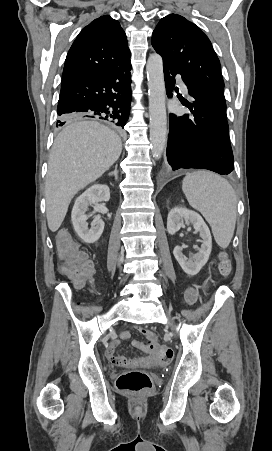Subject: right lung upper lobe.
<instances>
[{
    "mask_svg": "<svg viewBox=\"0 0 272 451\" xmlns=\"http://www.w3.org/2000/svg\"><path fill=\"white\" fill-rule=\"evenodd\" d=\"M130 59L126 35L117 20L101 16L83 28L72 44L62 85L115 68Z\"/></svg>",
    "mask_w": 272,
    "mask_h": 451,
    "instance_id": "right-lung-upper-lobe-1",
    "label": "right lung upper lobe"
}]
</instances>
